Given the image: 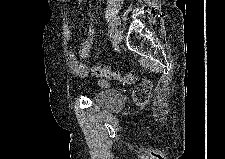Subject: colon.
I'll return each mask as SVG.
<instances>
[{"mask_svg": "<svg viewBox=\"0 0 225 159\" xmlns=\"http://www.w3.org/2000/svg\"><path fill=\"white\" fill-rule=\"evenodd\" d=\"M91 72L94 76L98 77L102 83L109 79H113L123 85L134 84L137 80L135 72L121 73L117 70H113L101 65H93ZM152 82L144 80L140 82L133 90V101L138 106H145L148 104L151 96Z\"/></svg>", "mask_w": 225, "mask_h": 159, "instance_id": "1", "label": "colon"}]
</instances>
